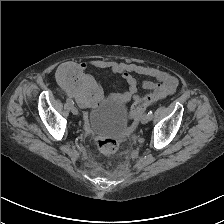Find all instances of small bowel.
<instances>
[{
	"label": "small bowel",
	"mask_w": 224,
	"mask_h": 224,
	"mask_svg": "<svg viewBox=\"0 0 224 224\" xmlns=\"http://www.w3.org/2000/svg\"><path fill=\"white\" fill-rule=\"evenodd\" d=\"M87 65L100 69H110L123 77L127 83V90L119 98L124 104L131 100H140V96L137 95V81L133 74L145 75L157 80V82L145 81L143 83V87L151 91L150 96L153 100L163 99L173 94L178 86V80L175 76L151 66L105 59H94Z\"/></svg>",
	"instance_id": "1"
}]
</instances>
